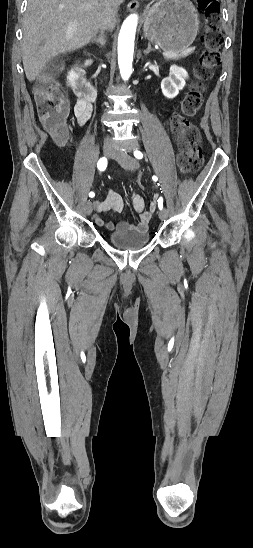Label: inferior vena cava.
I'll list each match as a JSON object with an SVG mask.
<instances>
[{"instance_id": "602c4592", "label": "inferior vena cava", "mask_w": 253, "mask_h": 548, "mask_svg": "<svg viewBox=\"0 0 253 548\" xmlns=\"http://www.w3.org/2000/svg\"><path fill=\"white\" fill-rule=\"evenodd\" d=\"M123 2L124 0H104V11L100 27L101 34H103L105 30H113L118 7Z\"/></svg>"}]
</instances>
